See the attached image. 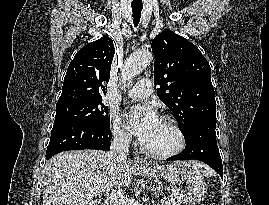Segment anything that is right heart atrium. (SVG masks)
<instances>
[{"instance_id": "1", "label": "right heart atrium", "mask_w": 269, "mask_h": 205, "mask_svg": "<svg viewBox=\"0 0 269 205\" xmlns=\"http://www.w3.org/2000/svg\"><path fill=\"white\" fill-rule=\"evenodd\" d=\"M110 129L115 141L120 144H129L131 135L122 124L121 119L116 115L110 116Z\"/></svg>"}]
</instances>
